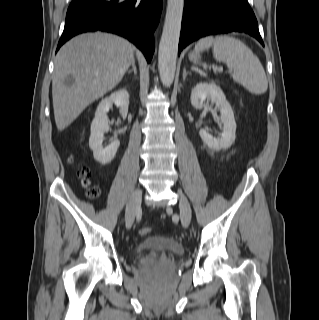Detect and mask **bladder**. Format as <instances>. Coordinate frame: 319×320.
Here are the masks:
<instances>
[{
    "instance_id": "bladder-1",
    "label": "bladder",
    "mask_w": 319,
    "mask_h": 320,
    "mask_svg": "<svg viewBox=\"0 0 319 320\" xmlns=\"http://www.w3.org/2000/svg\"><path fill=\"white\" fill-rule=\"evenodd\" d=\"M150 249L168 251L178 256L184 253V248L179 243L164 235L156 234L143 239L136 247L134 255H139Z\"/></svg>"
}]
</instances>
